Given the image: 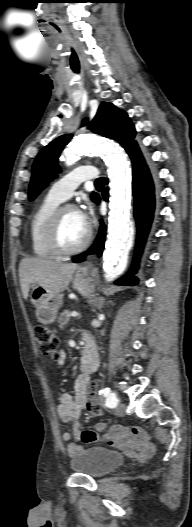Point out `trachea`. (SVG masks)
<instances>
[{"instance_id": "3493384b", "label": "trachea", "mask_w": 192, "mask_h": 527, "mask_svg": "<svg viewBox=\"0 0 192 527\" xmlns=\"http://www.w3.org/2000/svg\"><path fill=\"white\" fill-rule=\"evenodd\" d=\"M103 182H104V179L101 177V178H98L96 181H95V185L96 186H103Z\"/></svg>"}]
</instances>
